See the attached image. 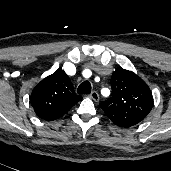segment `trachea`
Instances as JSON below:
<instances>
[{"label":"trachea","instance_id":"obj_1","mask_svg":"<svg viewBox=\"0 0 171 171\" xmlns=\"http://www.w3.org/2000/svg\"><path fill=\"white\" fill-rule=\"evenodd\" d=\"M78 94H90L91 93V84L89 81H84L81 83L77 89Z\"/></svg>","mask_w":171,"mask_h":171}]
</instances>
